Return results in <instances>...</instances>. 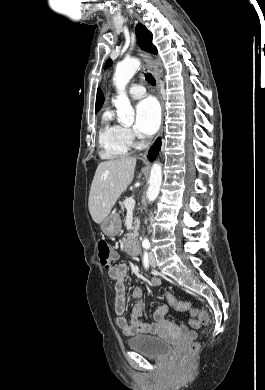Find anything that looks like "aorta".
<instances>
[{"label":"aorta","instance_id":"aorta-1","mask_svg":"<svg viewBox=\"0 0 265 390\" xmlns=\"http://www.w3.org/2000/svg\"><path fill=\"white\" fill-rule=\"evenodd\" d=\"M140 67V60L137 58L125 59L122 62L118 63L114 73L113 81L116 86L118 96L114 101L115 107L117 109L118 121L130 125L134 122V109L131 106L130 100L126 94V85L130 79L134 76L136 71ZM162 182V167L159 163H155L152 166L149 187L147 190V198L149 202L154 201L160 191V186ZM149 240L144 238L142 241V246H148Z\"/></svg>","mask_w":265,"mask_h":390}]
</instances>
